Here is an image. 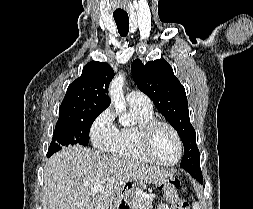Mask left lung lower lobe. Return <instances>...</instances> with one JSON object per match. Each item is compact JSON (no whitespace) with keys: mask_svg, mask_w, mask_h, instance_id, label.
Listing matches in <instances>:
<instances>
[{"mask_svg":"<svg viewBox=\"0 0 253 209\" xmlns=\"http://www.w3.org/2000/svg\"><path fill=\"white\" fill-rule=\"evenodd\" d=\"M196 180H198L200 183L203 182L202 178V172L201 169L198 168L195 172L190 173Z\"/></svg>","mask_w":253,"mask_h":209,"instance_id":"1","label":"left lung lower lobe"}]
</instances>
